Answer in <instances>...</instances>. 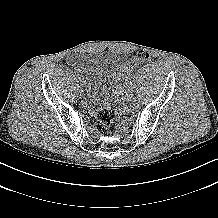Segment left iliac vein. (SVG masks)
I'll use <instances>...</instances> for the list:
<instances>
[{
  "mask_svg": "<svg viewBox=\"0 0 218 218\" xmlns=\"http://www.w3.org/2000/svg\"><path fill=\"white\" fill-rule=\"evenodd\" d=\"M127 101H128V102H131V101H132V98H131V97H128V98H127Z\"/></svg>",
  "mask_w": 218,
  "mask_h": 218,
  "instance_id": "4c4485c4",
  "label": "left iliac vein"
}]
</instances>
